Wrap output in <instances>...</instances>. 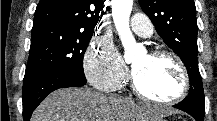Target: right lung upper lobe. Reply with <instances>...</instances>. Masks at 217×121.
<instances>
[{"label":"right lung upper lobe","mask_w":217,"mask_h":121,"mask_svg":"<svg viewBox=\"0 0 217 121\" xmlns=\"http://www.w3.org/2000/svg\"><path fill=\"white\" fill-rule=\"evenodd\" d=\"M103 0H40L33 26L57 23L69 27L94 30L102 9Z\"/></svg>","instance_id":"right-lung-upper-lobe-1"}]
</instances>
